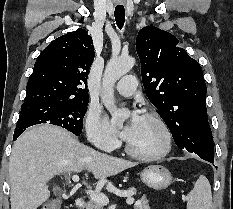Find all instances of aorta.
Masks as SVG:
<instances>
[{"instance_id": "aorta-1", "label": "aorta", "mask_w": 233, "mask_h": 209, "mask_svg": "<svg viewBox=\"0 0 233 209\" xmlns=\"http://www.w3.org/2000/svg\"><path fill=\"white\" fill-rule=\"evenodd\" d=\"M135 63L132 57L111 59L107 64L103 75L102 102L110 111L112 119L121 125L129 116L126 109H117L114 105V85L123 75L129 72Z\"/></svg>"}]
</instances>
